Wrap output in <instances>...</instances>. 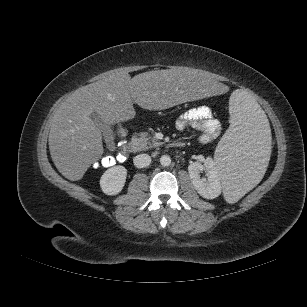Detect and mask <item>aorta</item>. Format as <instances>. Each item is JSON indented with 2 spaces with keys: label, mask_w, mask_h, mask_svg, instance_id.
Here are the masks:
<instances>
[{
  "label": "aorta",
  "mask_w": 307,
  "mask_h": 307,
  "mask_svg": "<svg viewBox=\"0 0 307 307\" xmlns=\"http://www.w3.org/2000/svg\"><path fill=\"white\" fill-rule=\"evenodd\" d=\"M160 164L162 166H169L171 164V158L169 155H162L160 158Z\"/></svg>",
  "instance_id": "1"
}]
</instances>
